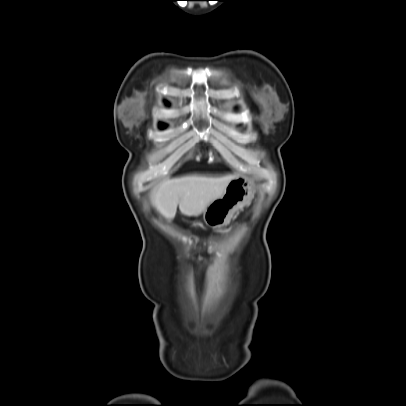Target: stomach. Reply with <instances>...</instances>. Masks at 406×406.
Wrapping results in <instances>:
<instances>
[{
  "instance_id": "0dacf381",
  "label": "stomach",
  "mask_w": 406,
  "mask_h": 406,
  "mask_svg": "<svg viewBox=\"0 0 406 406\" xmlns=\"http://www.w3.org/2000/svg\"><path fill=\"white\" fill-rule=\"evenodd\" d=\"M254 192L251 180L236 176L227 185L223 195L212 201L203 211L204 222L212 228L228 225L233 215L252 200Z\"/></svg>"
}]
</instances>
